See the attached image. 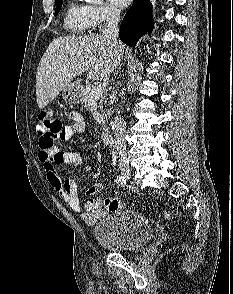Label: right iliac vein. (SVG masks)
Returning a JSON list of instances; mask_svg holds the SVG:
<instances>
[{"label": "right iliac vein", "instance_id": "obj_1", "mask_svg": "<svg viewBox=\"0 0 233 294\" xmlns=\"http://www.w3.org/2000/svg\"><path fill=\"white\" fill-rule=\"evenodd\" d=\"M120 171H121V174L127 178H131V170L128 166L126 165H121L120 166Z\"/></svg>", "mask_w": 233, "mask_h": 294}]
</instances>
